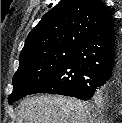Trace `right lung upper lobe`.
Returning <instances> with one entry per match:
<instances>
[{
    "instance_id": "right-lung-upper-lobe-1",
    "label": "right lung upper lobe",
    "mask_w": 122,
    "mask_h": 123,
    "mask_svg": "<svg viewBox=\"0 0 122 123\" xmlns=\"http://www.w3.org/2000/svg\"><path fill=\"white\" fill-rule=\"evenodd\" d=\"M111 21L108 8L100 0H61L29 33L19 60L50 51L77 49Z\"/></svg>"
}]
</instances>
